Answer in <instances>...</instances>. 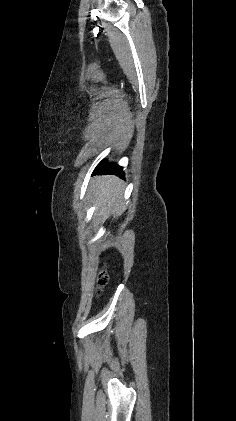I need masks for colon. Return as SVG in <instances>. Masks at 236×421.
I'll use <instances>...</instances> for the list:
<instances>
[{"mask_svg":"<svg viewBox=\"0 0 236 421\" xmlns=\"http://www.w3.org/2000/svg\"><path fill=\"white\" fill-rule=\"evenodd\" d=\"M107 281H108V276H107L106 272H105V271H103V272L99 275V279H98L99 286H100V287L104 286V285L107 283Z\"/></svg>","mask_w":236,"mask_h":421,"instance_id":"1","label":"colon"}]
</instances>
